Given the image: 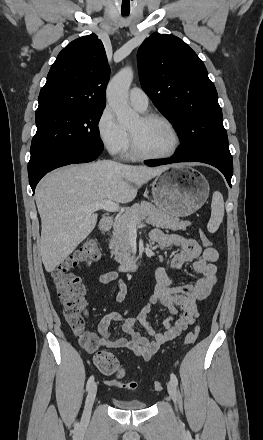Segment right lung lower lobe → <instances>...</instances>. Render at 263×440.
<instances>
[{"label": "right lung lower lobe", "instance_id": "98d812e1", "mask_svg": "<svg viewBox=\"0 0 263 440\" xmlns=\"http://www.w3.org/2000/svg\"><path fill=\"white\" fill-rule=\"evenodd\" d=\"M78 152L76 154V158H72L68 153L61 152L58 155L54 156L48 162L44 164L41 168L29 174V183L33 190L35 191V187L37 183L41 180V178L58 167L69 165V164H77V163H86L95 160L103 151V145H95L84 147L82 149H77Z\"/></svg>", "mask_w": 263, "mask_h": 440}]
</instances>
